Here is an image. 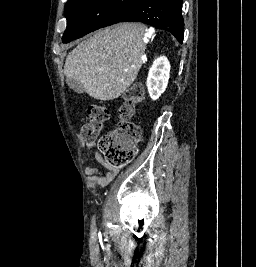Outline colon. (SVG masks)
Listing matches in <instances>:
<instances>
[{"label":"colon","mask_w":256,"mask_h":267,"mask_svg":"<svg viewBox=\"0 0 256 267\" xmlns=\"http://www.w3.org/2000/svg\"><path fill=\"white\" fill-rule=\"evenodd\" d=\"M144 89L135 84L124 94V101L119 106V127L105 134L99 141V148L106 162L112 166H124L131 162L136 145L141 139L138 125L130 121L138 114L137 106L143 102ZM89 119L81 123L84 140L94 139L104 129L109 119L110 110L105 106H93L88 110Z\"/></svg>","instance_id":"5ec220e1"}]
</instances>
